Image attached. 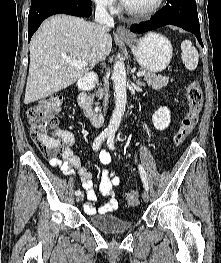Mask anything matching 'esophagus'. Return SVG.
I'll return each instance as SVG.
<instances>
[{"mask_svg": "<svg viewBox=\"0 0 221 263\" xmlns=\"http://www.w3.org/2000/svg\"><path fill=\"white\" fill-rule=\"evenodd\" d=\"M117 36L120 38H131V33L127 30L125 26L119 25L116 30Z\"/></svg>", "mask_w": 221, "mask_h": 263, "instance_id": "1", "label": "esophagus"}]
</instances>
